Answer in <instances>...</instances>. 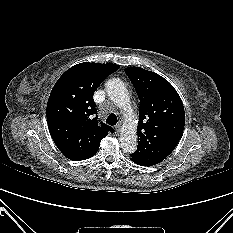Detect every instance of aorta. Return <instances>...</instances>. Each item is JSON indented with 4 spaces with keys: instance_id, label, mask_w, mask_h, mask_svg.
I'll list each match as a JSON object with an SVG mask.
<instances>
[{
    "instance_id": "1",
    "label": "aorta",
    "mask_w": 233,
    "mask_h": 233,
    "mask_svg": "<svg viewBox=\"0 0 233 233\" xmlns=\"http://www.w3.org/2000/svg\"><path fill=\"white\" fill-rule=\"evenodd\" d=\"M106 92L109 98L117 105L124 108L129 106V95L125 84L117 78L109 79L106 84ZM137 120L130 114L127 123L123 127L120 137L121 148L126 153H133L137 149Z\"/></svg>"
}]
</instances>
